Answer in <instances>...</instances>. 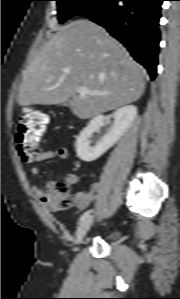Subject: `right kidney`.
<instances>
[{"mask_svg":"<svg viewBox=\"0 0 180 299\" xmlns=\"http://www.w3.org/2000/svg\"><path fill=\"white\" fill-rule=\"evenodd\" d=\"M136 115L137 108L134 105H127L117 109L113 114L114 123L111 131L93 144L90 140L92 134L97 132L105 123L103 115L94 117L81 131L76 140L78 157L85 162L98 159L127 132Z\"/></svg>","mask_w":180,"mask_h":299,"instance_id":"1","label":"right kidney"}]
</instances>
